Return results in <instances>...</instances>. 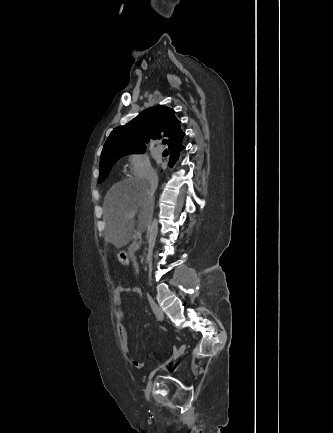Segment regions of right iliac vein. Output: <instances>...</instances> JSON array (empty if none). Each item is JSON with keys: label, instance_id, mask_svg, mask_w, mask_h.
I'll return each mask as SVG.
<instances>
[{"label": "right iliac vein", "instance_id": "1", "mask_svg": "<svg viewBox=\"0 0 333 433\" xmlns=\"http://www.w3.org/2000/svg\"><path fill=\"white\" fill-rule=\"evenodd\" d=\"M182 348H186V345H182V346L180 347V349H179L178 352H177L176 358L179 357V356L183 353V352H181V349H182ZM147 388L151 390V388H152V381H150V382L148 383Z\"/></svg>", "mask_w": 333, "mask_h": 433}]
</instances>
